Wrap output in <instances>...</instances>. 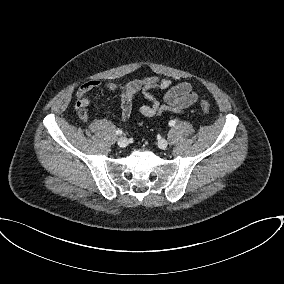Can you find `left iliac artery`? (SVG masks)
<instances>
[{"label":"left iliac artery","instance_id":"left-iliac-artery-1","mask_svg":"<svg viewBox=\"0 0 284 284\" xmlns=\"http://www.w3.org/2000/svg\"><path fill=\"white\" fill-rule=\"evenodd\" d=\"M176 124V121L175 120H170L169 121V126H174Z\"/></svg>","mask_w":284,"mask_h":284}]
</instances>
